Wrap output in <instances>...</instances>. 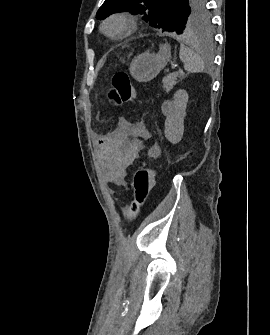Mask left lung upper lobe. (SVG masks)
<instances>
[{"mask_svg": "<svg viewBox=\"0 0 270 335\" xmlns=\"http://www.w3.org/2000/svg\"><path fill=\"white\" fill-rule=\"evenodd\" d=\"M123 11L141 15L162 32L188 35L207 31L211 25L206 0H105L96 18Z\"/></svg>", "mask_w": 270, "mask_h": 335, "instance_id": "left-lung-upper-lobe-1", "label": "left lung upper lobe"}]
</instances>
